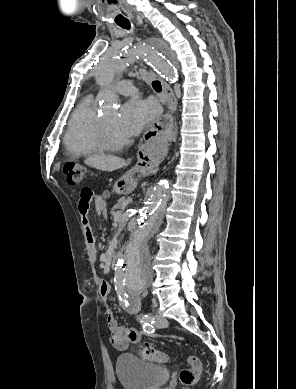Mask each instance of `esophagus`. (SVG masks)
Segmentation results:
<instances>
[{"label": "esophagus", "mask_w": 296, "mask_h": 389, "mask_svg": "<svg viewBox=\"0 0 296 389\" xmlns=\"http://www.w3.org/2000/svg\"><path fill=\"white\" fill-rule=\"evenodd\" d=\"M148 30V29H147ZM162 90L167 100V108L171 112H159L160 116L152 120L151 126L147 127V143L142 144L138 150V161L135 169H156L158 163H162L166 148L164 139L173 130L177 100L172 88L165 80L160 78Z\"/></svg>", "instance_id": "34e87169"}]
</instances>
